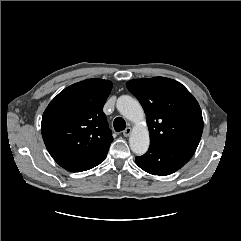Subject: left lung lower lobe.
Listing matches in <instances>:
<instances>
[{
    "instance_id": "1",
    "label": "left lung lower lobe",
    "mask_w": 241,
    "mask_h": 241,
    "mask_svg": "<svg viewBox=\"0 0 241 241\" xmlns=\"http://www.w3.org/2000/svg\"><path fill=\"white\" fill-rule=\"evenodd\" d=\"M195 150L196 148L189 146L150 141L148 151L142 156H137L136 163L150 174L166 176L183 167L193 156Z\"/></svg>"
}]
</instances>
